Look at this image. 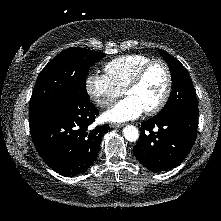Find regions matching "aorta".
I'll return each instance as SVG.
<instances>
[{
    "mask_svg": "<svg viewBox=\"0 0 221 221\" xmlns=\"http://www.w3.org/2000/svg\"><path fill=\"white\" fill-rule=\"evenodd\" d=\"M123 135L126 140L134 142L139 138L138 129L133 125H127L123 129Z\"/></svg>",
    "mask_w": 221,
    "mask_h": 221,
    "instance_id": "762f6f07",
    "label": "aorta"
}]
</instances>
